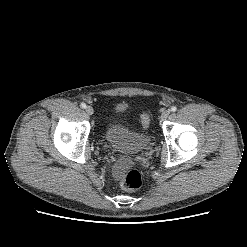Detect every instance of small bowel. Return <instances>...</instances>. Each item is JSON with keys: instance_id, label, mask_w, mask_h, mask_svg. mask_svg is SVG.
Listing matches in <instances>:
<instances>
[{"instance_id": "small-bowel-1", "label": "small bowel", "mask_w": 247, "mask_h": 247, "mask_svg": "<svg viewBox=\"0 0 247 247\" xmlns=\"http://www.w3.org/2000/svg\"><path fill=\"white\" fill-rule=\"evenodd\" d=\"M125 167H126L125 163H119V164L115 165V167H114V175H115L116 178H120L123 175Z\"/></svg>"}]
</instances>
